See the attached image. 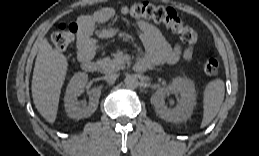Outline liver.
<instances>
[{
	"mask_svg": "<svg viewBox=\"0 0 259 156\" xmlns=\"http://www.w3.org/2000/svg\"><path fill=\"white\" fill-rule=\"evenodd\" d=\"M67 69L66 56L53 49L46 38L42 39L33 70L31 90L36 109L49 123L56 120Z\"/></svg>",
	"mask_w": 259,
	"mask_h": 156,
	"instance_id": "liver-1",
	"label": "liver"
}]
</instances>
